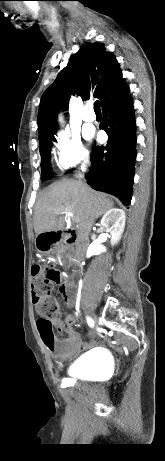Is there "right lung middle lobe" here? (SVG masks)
<instances>
[{
	"label": "right lung middle lobe",
	"instance_id": "right-lung-middle-lobe-1",
	"mask_svg": "<svg viewBox=\"0 0 165 461\" xmlns=\"http://www.w3.org/2000/svg\"><path fill=\"white\" fill-rule=\"evenodd\" d=\"M55 131L47 132L43 137L39 138V149L41 154V168L42 174L41 179L45 180L49 177V159H50V148L51 143L54 141Z\"/></svg>",
	"mask_w": 165,
	"mask_h": 461
}]
</instances>
